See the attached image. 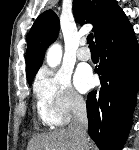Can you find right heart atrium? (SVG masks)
Segmentation results:
<instances>
[{"label": "right heart atrium", "mask_w": 139, "mask_h": 150, "mask_svg": "<svg viewBox=\"0 0 139 150\" xmlns=\"http://www.w3.org/2000/svg\"><path fill=\"white\" fill-rule=\"evenodd\" d=\"M34 91L38 106L51 126L65 125L85 111V100L73 88L70 74L65 70L42 71Z\"/></svg>", "instance_id": "right-heart-atrium-1"}]
</instances>
